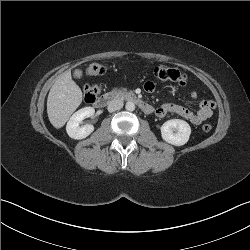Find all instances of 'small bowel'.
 I'll list each match as a JSON object with an SVG mask.
<instances>
[{"label": "small bowel", "instance_id": "obj_1", "mask_svg": "<svg viewBox=\"0 0 250 250\" xmlns=\"http://www.w3.org/2000/svg\"><path fill=\"white\" fill-rule=\"evenodd\" d=\"M144 89L147 92H153L155 89V85L152 82H146L144 85ZM189 96L192 100L198 99V93L195 90H191ZM214 107L215 104L211 100L201 101L199 105V110L196 112H193L181 105L164 103L159 105L155 109V114L160 118L165 117L169 113L175 114L187 119L194 125H199L200 123H202L203 121L207 120L212 116Z\"/></svg>", "mask_w": 250, "mask_h": 250}]
</instances>
